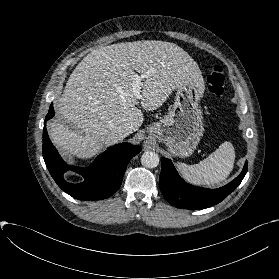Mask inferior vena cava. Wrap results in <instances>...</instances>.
Wrapping results in <instances>:
<instances>
[{
    "label": "inferior vena cava",
    "instance_id": "inferior-vena-cava-1",
    "mask_svg": "<svg viewBox=\"0 0 279 279\" xmlns=\"http://www.w3.org/2000/svg\"><path fill=\"white\" fill-rule=\"evenodd\" d=\"M122 135L124 136V137H126V136H128L129 134H131L132 133V130H131V128H125V129H122Z\"/></svg>",
    "mask_w": 279,
    "mask_h": 279
}]
</instances>
